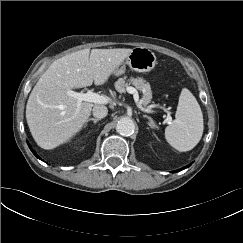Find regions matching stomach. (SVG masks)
Listing matches in <instances>:
<instances>
[{"instance_id": "0dacf381", "label": "stomach", "mask_w": 243, "mask_h": 243, "mask_svg": "<svg viewBox=\"0 0 243 243\" xmlns=\"http://www.w3.org/2000/svg\"><path fill=\"white\" fill-rule=\"evenodd\" d=\"M157 64V59L153 51L145 47H136L113 72L115 76L125 73L126 65L136 72H149Z\"/></svg>"}]
</instances>
